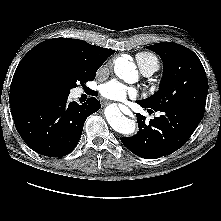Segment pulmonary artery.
Instances as JSON below:
<instances>
[{
  "label": "pulmonary artery",
  "instance_id": "obj_1",
  "mask_svg": "<svg viewBox=\"0 0 221 221\" xmlns=\"http://www.w3.org/2000/svg\"><path fill=\"white\" fill-rule=\"evenodd\" d=\"M141 70H142L143 75H145V76H150L156 71V69L154 67H147V68H144Z\"/></svg>",
  "mask_w": 221,
  "mask_h": 221
}]
</instances>
